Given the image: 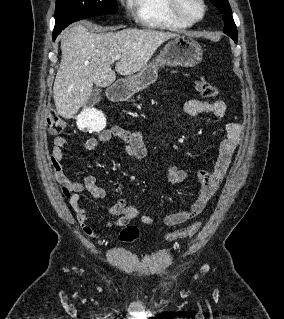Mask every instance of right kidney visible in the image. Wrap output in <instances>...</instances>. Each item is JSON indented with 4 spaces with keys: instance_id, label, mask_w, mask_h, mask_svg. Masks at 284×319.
Returning <instances> with one entry per match:
<instances>
[{
    "instance_id": "obj_1",
    "label": "right kidney",
    "mask_w": 284,
    "mask_h": 319,
    "mask_svg": "<svg viewBox=\"0 0 284 319\" xmlns=\"http://www.w3.org/2000/svg\"><path fill=\"white\" fill-rule=\"evenodd\" d=\"M76 119L77 126L82 131L91 129L100 132L106 126L104 114L94 108H85Z\"/></svg>"
}]
</instances>
